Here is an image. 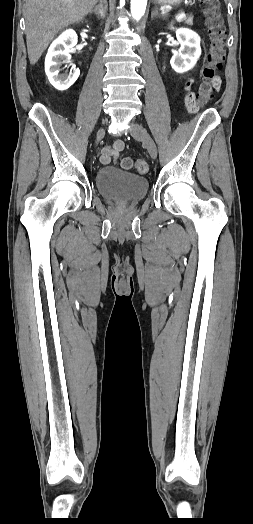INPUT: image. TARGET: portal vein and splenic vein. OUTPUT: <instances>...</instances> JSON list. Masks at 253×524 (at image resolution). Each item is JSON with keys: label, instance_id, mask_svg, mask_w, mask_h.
<instances>
[{"label": "portal vein and splenic vein", "instance_id": "18ae733b", "mask_svg": "<svg viewBox=\"0 0 253 524\" xmlns=\"http://www.w3.org/2000/svg\"><path fill=\"white\" fill-rule=\"evenodd\" d=\"M185 12L184 11H181L177 16H176V20H182L185 18Z\"/></svg>", "mask_w": 253, "mask_h": 524}]
</instances>
